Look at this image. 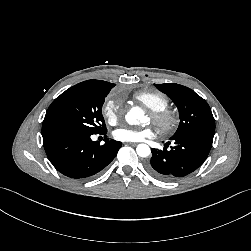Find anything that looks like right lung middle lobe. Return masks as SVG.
Segmentation results:
<instances>
[{"label":"right lung middle lobe","mask_w":251,"mask_h":251,"mask_svg":"<svg viewBox=\"0 0 251 251\" xmlns=\"http://www.w3.org/2000/svg\"><path fill=\"white\" fill-rule=\"evenodd\" d=\"M109 92L79 84L67 89L48 108L42 136L54 132H104L106 126L101 109Z\"/></svg>","instance_id":"obj_1"}]
</instances>
